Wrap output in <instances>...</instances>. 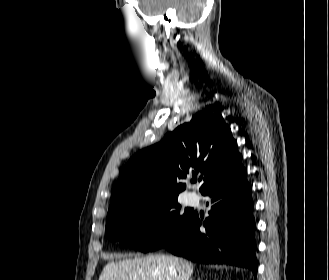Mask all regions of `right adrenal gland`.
<instances>
[{"label": "right adrenal gland", "instance_id": "right-adrenal-gland-1", "mask_svg": "<svg viewBox=\"0 0 329 280\" xmlns=\"http://www.w3.org/2000/svg\"><path fill=\"white\" fill-rule=\"evenodd\" d=\"M190 280H193V279H190ZM197 280H201L200 278H198Z\"/></svg>", "mask_w": 329, "mask_h": 280}]
</instances>
